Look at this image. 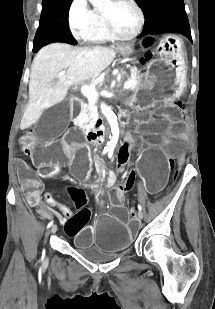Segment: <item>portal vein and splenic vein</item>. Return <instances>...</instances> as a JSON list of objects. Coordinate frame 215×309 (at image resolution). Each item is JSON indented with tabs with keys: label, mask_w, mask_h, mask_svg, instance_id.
<instances>
[{
	"label": "portal vein and splenic vein",
	"mask_w": 215,
	"mask_h": 309,
	"mask_svg": "<svg viewBox=\"0 0 215 309\" xmlns=\"http://www.w3.org/2000/svg\"><path fill=\"white\" fill-rule=\"evenodd\" d=\"M66 70H61V72H58L59 76H63L65 74ZM133 80H128L126 84H124V88H129V86H132ZM81 92H83L84 96H98L95 86H82Z\"/></svg>",
	"instance_id": "portal-vein-and-splenic-vein-1"
}]
</instances>
